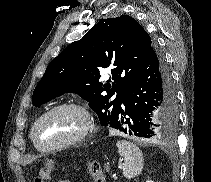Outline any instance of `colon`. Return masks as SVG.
I'll return each instance as SVG.
<instances>
[{
	"instance_id": "obj_1",
	"label": "colon",
	"mask_w": 211,
	"mask_h": 182,
	"mask_svg": "<svg viewBox=\"0 0 211 182\" xmlns=\"http://www.w3.org/2000/svg\"><path fill=\"white\" fill-rule=\"evenodd\" d=\"M86 169L93 182H107L106 177L101 169L98 162L90 161L86 164ZM54 170L52 164L46 165L38 176L35 178L34 182H46L49 179L51 172Z\"/></svg>"
}]
</instances>
